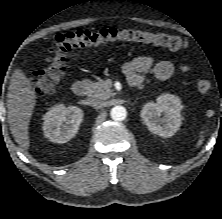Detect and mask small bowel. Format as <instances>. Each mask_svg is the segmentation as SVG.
Listing matches in <instances>:
<instances>
[{"label": "small bowel", "mask_w": 222, "mask_h": 219, "mask_svg": "<svg viewBox=\"0 0 222 219\" xmlns=\"http://www.w3.org/2000/svg\"><path fill=\"white\" fill-rule=\"evenodd\" d=\"M123 73L131 86H138L143 80V74L153 72L155 78L166 80L175 72V65L167 60L156 61L153 56H139L123 65ZM181 72H187L189 66L182 64L178 67Z\"/></svg>", "instance_id": "small-bowel-1"}]
</instances>
